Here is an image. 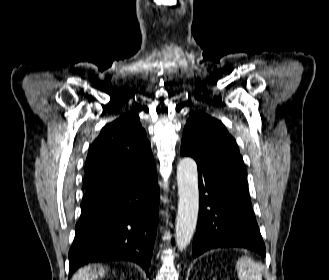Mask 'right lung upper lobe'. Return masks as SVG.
Returning <instances> with one entry per match:
<instances>
[{
	"label": "right lung upper lobe",
	"instance_id": "cb5924a9",
	"mask_svg": "<svg viewBox=\"0 0 329 280\" xmlns=\"http://www.w3.org/2000/svg\"><path fill=\"white\" fill-rule=\"evenodd\" d=\"M155 163L138 114L128 112L105 125L89 148L85 188L110 178H133L155 171Z\"/></svg>",
	"mask_w": 329,
	"mask_h": 280
}]
</instances>
